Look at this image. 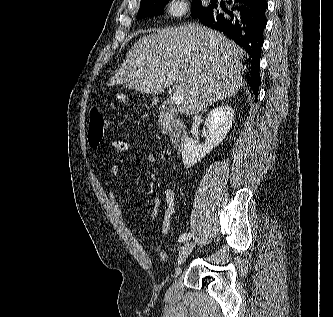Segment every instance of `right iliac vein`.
<instances>
[{
	"mask_svg": "<svg viewBox=\"0 0 333 317\" xmlns=\"http://www.w3.org/2000/svg\"><path fill=\"white\" fill-rule=\"evenodd\" d=\"M194 247L195 244L192 242L184 244L178 255V260H177L178 265L182 264L187 259V257L190 255Z\"/></svg>",
	"mask_w": 333,
	"mask_h": 317,
	"instance_id": "1",
	"label": "right iliac vein"
}]
</instances>
